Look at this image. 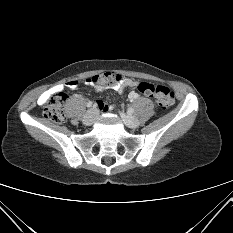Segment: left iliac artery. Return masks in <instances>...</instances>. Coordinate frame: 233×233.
Segmentation results:
<instances>
[{
	"instance_id": "44dca946",
	"label": "left iliac artery",
	"mask_w": 233,
	"mask_h": 233,
	"mask_svg": "<svg viewBox=\"0 0 233 233\" xmlns=\"http://www.w3.org/2000/svg\"><path fill=\"white\" fill-rule=\"evenodd\" d=\"M128 112H129L130 114H132V113H134V109L130 107V108L128 109Z\"/></svg>"
}]
</instances>
